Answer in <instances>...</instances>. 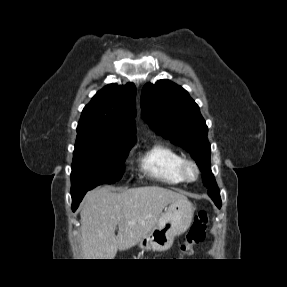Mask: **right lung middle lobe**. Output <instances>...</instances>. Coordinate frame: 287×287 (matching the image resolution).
Here are the masks:
<instances>
[{
	"mask_svg": "<svg viewBox=\"0 0 287 287\" xmlns=\"http://www.w3.org/2000/svg\"><path fill=\"white\" fill-rule=\"evenodd\" d=\"M134 141L99 139L78 134L71 172V195L105 183H114L124 173V161Z\"/></svg>",
	"mask_w": 287,
	"mask_h": 287,
	"instance_id": "1",
	"label": "right lung middle lobe"
}]
</instances>
